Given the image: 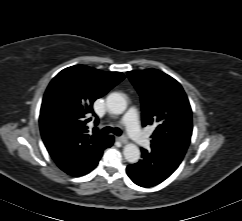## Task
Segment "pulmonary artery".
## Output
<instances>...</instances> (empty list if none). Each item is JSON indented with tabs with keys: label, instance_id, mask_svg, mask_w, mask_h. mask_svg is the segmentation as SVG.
Instances as JSON below:
<instances>
[{
	"label": "pulmonary artery",
	"instance_id": "obj_1",
	"mask_svg": "<svg viewBox=\"0 0 242 221\" xmlns=\"http://www.w3.org/2000/svg\"><path fill=\"white\" fill-rule=\"evenodd\" d=\"M122 122L125 124L131 138L140 146L146 147L148 140L143 134L138 124V113L136 109L131 108L125 114Z\"/></svg>",
	"mask_w": 242,
	"mask_h": 221
}]
</instances>
